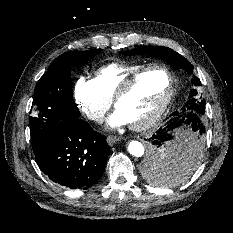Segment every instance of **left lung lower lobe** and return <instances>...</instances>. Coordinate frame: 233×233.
<instances>
[{
	"instance_id": "obj_1",
	"label": "left lung lower lobe",
	"mask_w": 233,
	"mask_h": 233,
	"mask_svg": "<svg viewBox=\"0 0 233 233\" xmlns=\"http://www.w3.org/2000/svg\"><path fill=\"white\" fill-rule=\"evenodd\" d=\"M181 127H189L195 132V135L203 136L205 133V127L202 122L197 121L191 124H182L173 120V117L167 122L164 127H161L152 137L149 139L151 144L155 147V150L148 160V168L150 171L154 170V167L160 165L164 168L165 154L167 153V145L174 139V132ZM198 149V148H197ZM199 149L195 151L197 154ZM166 167V165H165ZM161 169V168H160ZM173 177H170L165 182H172Z\"/></svg>"
}]
</instances>
